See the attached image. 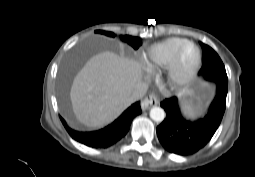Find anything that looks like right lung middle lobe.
Masks as SVG:
<instances>
[{
  "instance_id": "dd1d6c3e",
  "label": "right lung middle lobe",
  "mask_w": 255,
  "mask_h": 177,
  "mask_svg": "<svg viewBox=\"0 0 255 177\" xmlns=\"http://www.w3.org/2000/svg\"><path fill=\"white\" fill-rule=\"evenodd\" d=\"M98 33L109 36V37H115V34L112 33V32H107V31L101 30ZM121 39L124 42L131 45L134 49H137L142 44L140 38H138V37H132V36H129V35H125V36H121ZM61 100H62V103L65 104L66 90H65L64 87H62V90H61Z\"/></svg>"
}]
</instances>
